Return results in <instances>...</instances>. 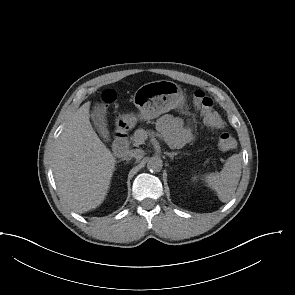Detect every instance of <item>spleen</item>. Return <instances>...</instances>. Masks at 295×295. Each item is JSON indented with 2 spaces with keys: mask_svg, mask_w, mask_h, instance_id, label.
<instances>
[{
  "mask_svg": "<svg viewBox=\"0 0 295 295\" xmlns=\"http://www.w3.org/2000/svg\"><path fill=\"white\" fill-rule=\"evenodd\" d=\"M241 177V158L238 154L229 157L220 173L204 175L206 184L217 192L222 202H228L234 195Z\"/></svg>",
  "mask_w": 295,
  "mask_h": 295,
  "instance_id": "3e777b00",
  "label": "spleen"
}]
</instances>
